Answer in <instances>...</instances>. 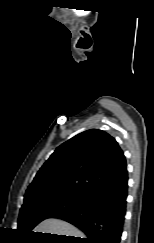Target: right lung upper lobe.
Segmentation results:
<instances>
[{"label":"right lung upper lobe","instance_id":"cb5924a9","mask_svg":"<svg viewBox=\"0 0 154 243\" xmlns=\"http://www.w3.org/2000/svg\"><path fill=\"white\" fill-rule=\"evenodd\" d=\"M126 170L116 140L102 130H87L54 151L26 190L24 203L55 195L88 198Z\"/></svg>","mask_w":154,"mask_h":243}]
</instances>
